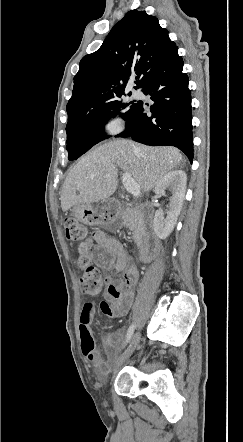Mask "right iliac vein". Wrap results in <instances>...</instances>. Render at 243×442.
Returning <instances> with one entry per match:
<instances>
[{"mask_svg": "<svg viewBox=\"0 0 243 442\" xmlns=\"http://www.w3.org/2000/svg\"><path fill=\"white\" fill-rule=\"evenodd\" d=\"M139 340H140V333L136 332L132 336V338L130 340V343H129V346L127 347L125 352L120 356V358L118 359L117 363L115 364L114 371H116L117 368L133 354V352L135 351V349H136V347H137V345L139 343Z\"/></svg>", "mask_w": 243, "mask_h": 442, "instance_id": "right-iliac-vein-1", "label": "right iliac vein"}]
</instances>
